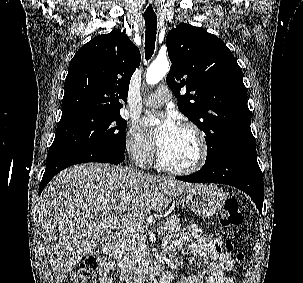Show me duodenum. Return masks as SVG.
Here are the masks:
<instances>
[{
  "label": "duodenum",
  "mask_w": 303,
  "mask_h": 283,
  "mask_svg": "<svg viewBox=\"0 0 303 283\" xmlns=\"http://www.w3.org/2000/svg\"><path fill=\"white\" fill-rule=\"evenodd\" d=\"M108 251L114 250L113 242L106 245ZM152 272L162 274L164 276L163 267L160 264L141 263L140 265L127 271V283H140V281L147 277Z\"/></svg>",
  "instance_id": "obj_1"
}]
</instances>
